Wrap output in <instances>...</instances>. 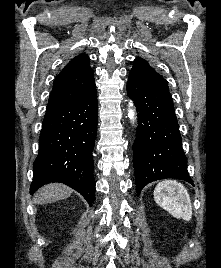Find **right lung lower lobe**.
Segmentation results:
<instances>
[{
	"label": "right lung lower lobe",
	"instance_id": "right-lung-lower-lobe-1",
	"mask_svg": "<svg viewBox=\"0 0 221 268\" xmlns=\"http://www.w3.org/2000/svg\"><path fill=\"white\" fill-rule=\"evenodd\" d=\"M97 93L59 107L47 108L34 162L33 194L44 184L65 183L92 205L95 199L93 156L97 133Z\"/></svg>",
	"mask_w": 221,
	"mask_h": 268
}]
</instances>
